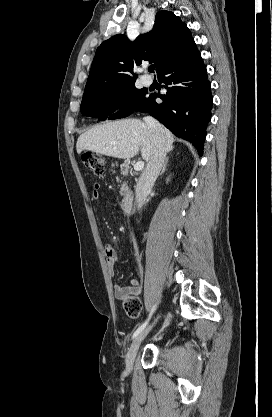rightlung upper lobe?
Wrapping results in <instances>:
<instances>
[{
    "label": "right lung upper lobe",
    "instance_id": "cb5924a9",
    "mask_svg": "<svg viewBox=\"0 0 272 417\" xmlns=\"http://www.w3.org/2000/svg\"><path fill=\"white\" fill-rule=\"evenodd\" d=\"M186 24L169 11L156 14L153 29L130 42L125 35H115L97 48L85 94L126 88L135 84L134 65L154 62L157 74L182 54L193 42Z\"/></svg>",
    "mask_w": 272,
    "mask_h": 417
}]
</instances>
